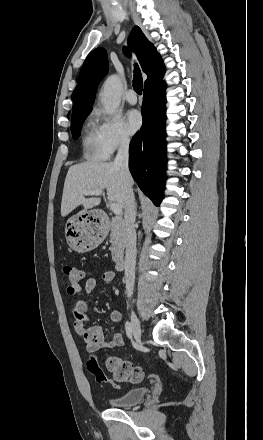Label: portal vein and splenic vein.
I'll list each match as a JSON object with an SVG mask.
<instances>
[{"label":"portal vein and splenic vein","instance_id":"portal-vein-and-splenic-vein-1","mask_svg":"<svg viewBox=\"0 0 263 440\" xmlns=\"http://www.w3.org/2000/svg\"><path fill=\"white\" fill-rule=\"evenodd\" d=\"M85 195H87V196H92V195L101 196V195H103V192L100 190H95V191H91V192H85ZM110 209L116 216H120L122 214V207L118 203H110Z\"/></svg>","mask_w":263,"mask_h":440}]
</instances>
